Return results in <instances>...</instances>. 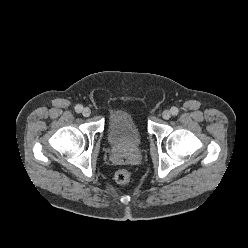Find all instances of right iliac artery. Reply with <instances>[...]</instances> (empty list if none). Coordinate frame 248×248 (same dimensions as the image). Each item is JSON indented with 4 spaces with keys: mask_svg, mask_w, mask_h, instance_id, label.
<instances>
[{
    "mask_svg": "<svg viewBox=\"0 0 248 248\" xmlns=\"http://www.w3.org/2000/svg\"><path fill=\"white\" fill-rule=\"evenodd\" d=\"M75 110H76L77 113H80L83 110V106L78 104V105L75 106Z\"/></svg>",
    "mask_w": 248,
    "mask_h": 248,
    "instance_id": "82829eb1",
    "label": "right iliac artery"
}]
</instances>
